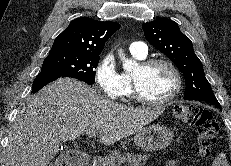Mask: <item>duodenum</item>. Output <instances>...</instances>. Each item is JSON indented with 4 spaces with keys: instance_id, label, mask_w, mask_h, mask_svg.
Masks as SVG:
<instances>
[{
    "instance_id": "410a0bca",
    "label": "duodenum",
    "mask_w": 231,
    "mask_h": 166,
    "mask_svg": "<svg viewBox=\"0 0 231 166\" xmlns=\"http://www.w3.org/2000/svg\"><path fill=\"white\" fill-rule=\"evenodd\" d=\"M91 157L88 153L69 151L64 155L63 166H89Z\"/></svg>"
}]
</instances>
